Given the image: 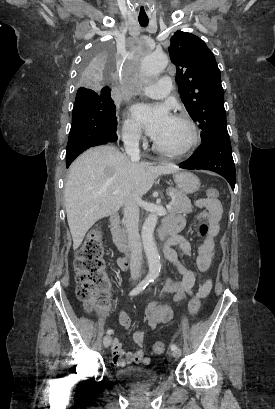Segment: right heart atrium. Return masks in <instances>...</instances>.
Instances as JSON below:
<instances>
[{
	"mask_svg": "<svg viewBox=\"0 0 275 409\" xmlns=\"http://www.w3.org/2000/svg\"><path fill=\"white\" fill-rule=\"evenodd\" d=\"M121 136L127 144H139L143 139L141 124L134 117L125 115L121 122Z\"/></svg>",
	"mask_w": 275,
	"mask_h": 409,
	"instance_id": "obj_1",
	"label": "right heart atrium"
}]
</instances>
